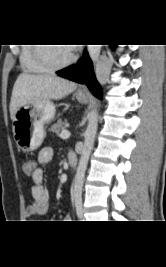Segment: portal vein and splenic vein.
<instances>
[{
	"label": "portal vein and splenic vein",
	"instance_id": "18ae733b",
	"mask_svg": "<svg viewBox=\"0 0 166 267\" xmlns=\"http://www.w3.org/2000/svg\"><path fill=\"white\" fill-rule=\"evenodd\" d=\"M69 137H70V132H68V131H62L60 133V138H62V139H67Z\"/></svg>",
	"mask_w": 166,
	"mask_h": 267
}]
</instances>
